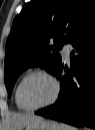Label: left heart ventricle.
Wrapping results in <instances>:
<instances>
[{
    "label": "left heart ventricle",
    "mask_w": 95,
    "mask_h": 130,
    "mask_svg": "<svg viewBox=\"0 0 95 130\" xmlns=\"http://www.w3.org/2000/svg\"><path fill=\"white\" fill-rule=\"evenodd\" d=\"M52 82L45 76L35 75L30 77L21 90L22 101L31 107L46 103L53 95Z\"/></svg>",
    "instance_id": "obj_1"
}]
</instances>
